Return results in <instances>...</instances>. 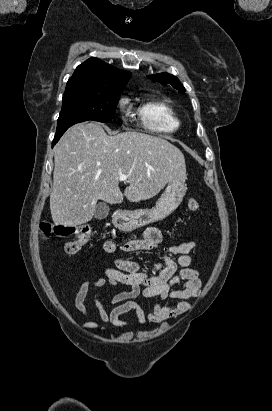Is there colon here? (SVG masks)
<instances>
[{"label":"colon","instance_id":"1","mask_svg":"<svg viewBox=\"0 0 272 411\" xmlns=\"http://www.w3.org/2000/svg\"><path fill=\"white\" fill-rule=\"evenodd\" d=\"M200 208L199 202L191 198L187 202V211L190 213L198 212ZM41 234L44 237L51 235L59 238H69L65 243V252L69 255L76 254L90 239L92 229L87 224L78 225H55L51 226L47 223L41 224Z\"/></svg>","mask_w":272,"mask_h":411}]
</instances>
